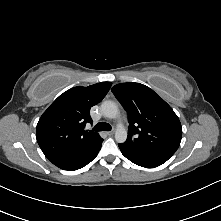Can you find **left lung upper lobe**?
Here are the masks:
<instances>
[{"label": "left lung upper lobe", "instance_id": "1", "mask_svg": "<svg viewBox=\"0 0 221 221\" xmlns=\"http://www.w3.org/2000/svg\"><path fill=\"white\" fill-rule=\"evenodd\" d=\"M112 92L128 113L126 142L175 153L182 128L173 109L152 89L140 83H120Z\"/></svg>", "mask_w": 221, "mask_h": 221}]
</instances>
